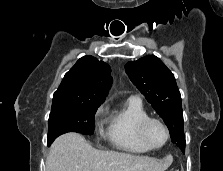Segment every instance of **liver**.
<instances>
[{"mask_svg": "<svg viewBox=\"0 0 223 171\" xmlns=\"http://www.w3.org/2000/svg\"><path fill=\"white\" fill-rule=\"evenodd\" d=\"M172 156L157 160L145 156L94 149L78 133L59 136L51 146L46 171H165Z\"/></svg>", "mask_w": 223, "mask_h": 171, "instance_id": "liver-1", "label": "liver"}]
</instances>
